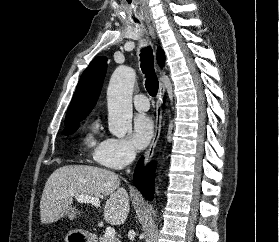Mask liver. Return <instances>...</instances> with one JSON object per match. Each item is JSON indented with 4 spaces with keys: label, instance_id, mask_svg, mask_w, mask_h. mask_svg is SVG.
Instances as JSON below:
<instances>
[{
    "label": "liver",
    "instance_id": "1",
    "mask_svg": "<svg viewBox=\"0 0 279 242\" xmlns=\"http://www.w3.org/2000/svg\"><path fill=\"white\" fill-rule=\"evenodd\" d=\"M83 195L108 197L104 218L112 225H121L130 211L129 196L120 187L119 176L106 169L88 165H66L56 169L48 178L40 201V219L53 223L64 216L70 220L82 212L72 207L73 197Z\"/></svg>",
    "mask_w": 279,
    "mask_h": 242
}]
</instances>
